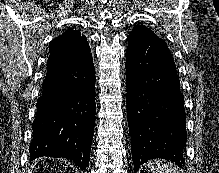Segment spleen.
Returning <instances> with one entry per match:
<instances>
[{
    "label": "spleen",
    "instance_id": "spleen-1",
    "mask_svg": "<svg viewBox=\"0 0 219 173\" xmlns=\"http://www.w3.org/2000/svg\"><path fill=\"white\" fill-rule=\"evenodd\" d=\"M148 168L151 173H179L177 168L171 163L162 160H153L149 162Z\"/></svg>",
    "mask_w": 219,
    "mask_h": 173
}]
</instances>
